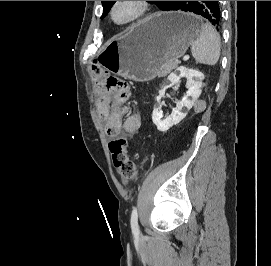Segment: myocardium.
Wrapping results in <instances>:
<instances>
[{
	"instance_id": "myocardium-1",
	"label": "myocardium",
	"mask_w": 271,
	"mask_h": 266,
	"mask_svg": "<svg viewBox=\"0 0 271 266\" xmlns=\"http://www.w3.org/2000/svg\"><path fill=\"white\" fill-rule=\"evenodd\" d=\"M123 3H131L136 6V10L133 14V16L125 21H118L115 18V11L116 8ZM150 10V3L149 1H114L110 7L109 10V18L113 22V24L117 26H131L139 21H141L143 18L146 17Z\"/></svg>"
}]
</instances>
